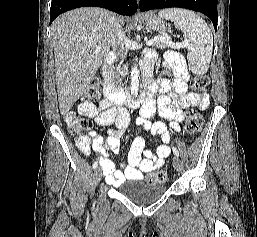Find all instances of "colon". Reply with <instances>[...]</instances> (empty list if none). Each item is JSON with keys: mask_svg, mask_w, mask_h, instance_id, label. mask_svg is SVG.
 Returning <instances> with one entry per match:
<instances>
[{"mask_svg": "<svg viewBox=\"0 0 257 237\" xmlns=\"http://www.w3.org/2000/svg\"><path fill=\"white\" fill-rule=\"evenodd\" d=\"M209 86V78L206 75H198L194 78L192 88L195 91L204 92L207 90ZM100 96V86L97 81H92L87 87L84 98L86 100H96ZM65 121L68 127V131L72 136H79L83 131H88L92 127V123L90 120L81 118L75 112H67L65 114ZM203 126V118L202 116L196 112L191 111L188 114L186 123H185V131L190 137L196 136ZM168 177V173L166 171H156L150 173L146 181L149 183H162Z\"/></svg>", "mask_w": 257, "mask_h": 237, "instance_id": "colon-1", "label": "colon"}]
</instances>
